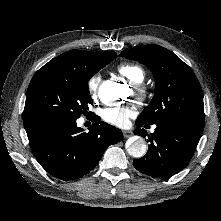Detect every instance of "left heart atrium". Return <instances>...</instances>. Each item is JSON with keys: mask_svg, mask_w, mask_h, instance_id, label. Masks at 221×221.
I'll return each instance as SVG.
<instances>
[{"mask_svg": "<svg viewBox=\"0 0 221 221\" xmlns=\"http://www.w3.org/2000/svg\"><path fill=\"white\" fill-rule=\"evenodd\" d=\"M132 116L133 111L126 106H110L100 111V117L103 121L118 127L126 126Z\"/></svg>", "mask_w": 221, "mask_h": 221, "instance_id": "obj_1", "label": "left heart atrium"}]
</instances>
